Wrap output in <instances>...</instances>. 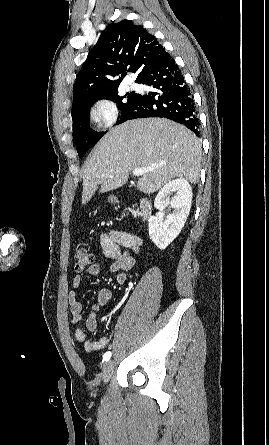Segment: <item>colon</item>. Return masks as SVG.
<instances>
[{"instance_id":"obj_1","label":"colon","mask_w":269,"mask_h":445,"mask_svg":"<svg viewBox=\"0 0 269 445\" xmlns=\"http://www.w3.org/2000/svg\"><path fill=\"white\" fill-rule=\"evenodd\" d=\"M94 262V255L86 248H78L75 251V269L84 271Z\"/></svg>"}]
</instances>
